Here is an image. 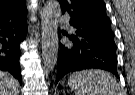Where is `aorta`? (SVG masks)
I'll use <instances>...</instances> for the list:
<instances>
[{"label": "aorta", "mask_w": 135, "mask_h": 95, "mask_svg": "<svg viewBox=\"0 0 135 95\" xmlns=\"http://www.w3.org/2000/svg\"><path fill=\"white\" fill-rule=\"evenodd\" d=\"M61 8L57 0H47L41 20L42 59L46 70L51 71L58 60V23Z\"/></svg>", "instance_id": "obj_1"}]
</instances>
